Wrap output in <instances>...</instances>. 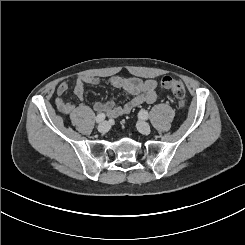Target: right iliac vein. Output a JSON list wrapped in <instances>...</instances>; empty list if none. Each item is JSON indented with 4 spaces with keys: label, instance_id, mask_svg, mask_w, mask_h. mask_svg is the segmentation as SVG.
I'll return each instance as SVG.
<instances>
[{
    "label": "right iliac vein",
    "instance_id": "1",
    "mask_svg": "<svg viewBox=\"0 0 245 245\" xmlns=\"http://www.w3.org/2000/svg\"><path fill=\"white\" fill-rule=\"evenodd\" d=\"M109 129H110V125H109V123L106 122V121L102 122V123L99 124V126H98V131H99L100 133H106V132L109 131Z\"/></svg>",
    "mask_w": 245,
    "mask_h": 245
}]
</instances>
